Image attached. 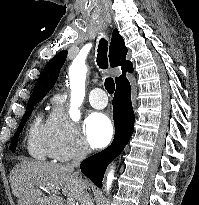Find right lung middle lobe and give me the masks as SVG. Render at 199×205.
Masks as SVG:
<instances>
[{"label":"right lung middle lobe","instance_id":"1","mask_svg":"<svg viewBox=\"0 0 199 205\" xmlns=\"http://www.w3.org/2000/svg\"><path fill=\"white\" fill-rule=\"evenodd\" d=\"M41 100L42 99H37V100H33V101L28 102L26 112H25L24 116L22 117V120L20 122L19 128H18L17 132L15 133V135H14L12 141H11V144H10V150L12 152H14L16 150L18 136L22 132V129H23L27 119L31 115V113H32V111L34 109V106L38 102H40Z\"/></svg>","mask_w":199,"mask_h":205}]
</instances>
